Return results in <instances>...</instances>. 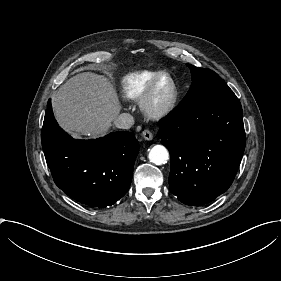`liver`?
Masks as SVG:
<instances>
[{"mask_svg":"<svg viewBox=\"0 0 281 281\" xmlns=\"http://www.w3.org/2000/svg\"><path fill=\"white\" fill-rule=\"evenodd\" d=\"M54 117L65 132L95 139L106 136L119 117L122 104L111 79L83 72L68 79L51 96Z\"/></svg>","mask_w":281,"mask_h":281,"instance_id":"liver-1","label":"liver"}]
</instances>
